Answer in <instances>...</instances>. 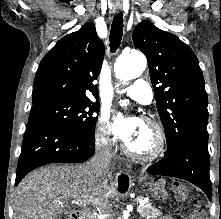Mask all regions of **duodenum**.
Here are the masks:
<instances>
[{
  "label": "duodenum",
  "mask_w": 221,
  "mask_h": 219,
  "mask_svg": "<svg viewBox=\"0 0 221 219\" xmlns=\"http://www.w3.org/2000/svg\"><path fill=\"white\" fill-rule=\"evenodd\" d=\"M67 219H85L84 213L82 211H76L70 214Z\"/></svg>",
  "instance_id": "obj_1"
}]
</instances>
